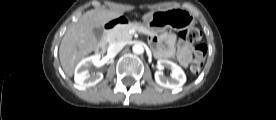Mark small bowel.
Returning a JSON list of instances; mask_svg holds the SVG:
<instances>
[{"mask_svg": "<svg viewBox=\"0 0 276 120\" xmlns=\"http://www.w3.org/2000/svg\"><path fill=\"white\" fill-rule=\"evenodd\" d=\"M151 42L156 45L155 56L158 58H176L180 65L186 67L191 61L192 49L179 41L175 46L176 36L172 32H166L160 37H152Z\"/></svg>", "mask_w": 276, "mask_h": 120, "instance_id": "1", "label": "small bowel"}]
</instances>
